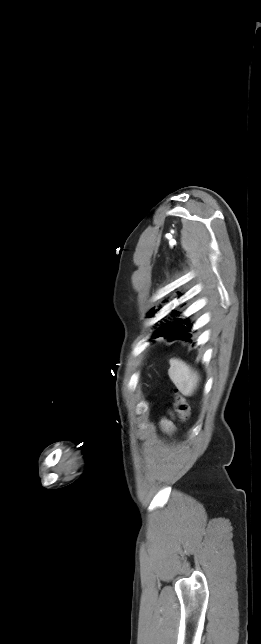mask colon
Here are the masks:
<instances>
[{"label":"colon","instance_id":"1","mask_svg":"<svg viewBox=\"0 0 261 644\" xmlns=\"http://www.w3.org/2000/svg\"><path fill=\"white\" fill-rule=\"evenodd\" d=\"M174 408L182 420H186L190 416V406L187 399L177 392H175Z\"/></svg>","mask_w":261,"mask_h":644}]
</instances>
